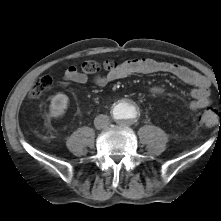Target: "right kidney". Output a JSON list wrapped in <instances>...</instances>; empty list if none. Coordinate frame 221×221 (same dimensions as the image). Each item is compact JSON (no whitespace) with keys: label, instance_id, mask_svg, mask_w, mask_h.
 I'll return each instance as SVG.
<instances>
[{"label":"right kidney","instance_id":"obj_1","mask_svg":"<svg viewBox=\"0 0 221 221\" xmlns=\"http://www.w3.org/2000/svg\"><path fill=\"white\" fill-rule=\"evenodd\" d=\"M69 98L65 94L58 93L55 95L50 104V114L53 117H60L68 108Z\"/></svg>","mask_w":221,"mask_h":221}]
</instances>
